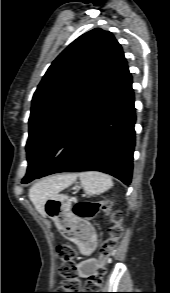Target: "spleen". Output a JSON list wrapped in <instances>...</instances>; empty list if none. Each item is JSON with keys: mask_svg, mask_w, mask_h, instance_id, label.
I'll use <instances>...</instances> for the list:
<instances>
[{"mask_svg": "<svg viewBox=\"0 0 170 293\" xmlns=\"http://www.w3.org/2000/svg\"><path fill=\"white\" fill-rule=\"evenodd\" d=\"M79 178L83 190L92 196L102 194L113 186L110 176L101 172H82Z\"/></svg>", "mask_w": 170, "mask_h": 293, "instance_id": "obj_1", "label": "spleen"}]
</instances>
